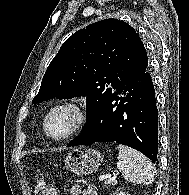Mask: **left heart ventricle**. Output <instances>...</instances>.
<instances>
[{
	"mask_svg": "<svg viewBox=\"0 0 189 195\" xmlns=\"http://www.w3.org/2000/svg\"><path fill=\"white\" fill-rule=\"evenodd\" d=\"M77 114L71 108H61L55 111L48 120V131L54 137L67 134L76 124Z\"/></svg>",
	"mask_w": 189,
	"mask_h": 195,
	"instance_id": "1",
	"label": "left heart ventricle"
}]
</instances>
